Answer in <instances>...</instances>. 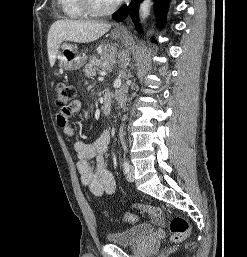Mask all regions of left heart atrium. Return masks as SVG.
Wrapping results in <instances>:
<instances>
[{
    "label": "left heart atrium",
    "mask_w": 247,
    "mask_h": 257,
    "mask_svg": "<svg viewBox=\"0 0 247 257\" xmlns=\"http://www.w3.org/2000/svg\"><path fill=\"white\" fill-rule=\"evenodd\" d=\"M114 1L120 2V1H122V0H114Z\"/></svg>",
    "instance_id": "obj_1"
}]
</instances>
